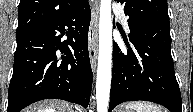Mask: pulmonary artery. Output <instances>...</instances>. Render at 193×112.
I'll return each instance as SVG.
<instances>
[{"label":"pulmonary artery","mask_w":193,"mask_h":112,"mask_svg":"<svg viewBox=\"0 0 193 112\" xmlns=\"http://www.w3.org/2000/svg\"><path fill=\"white\" fill-rule=\"evenodd\" d=\"M113 11L121 18V20L123 21L125 27L128 28V26H127V18H126L125 14H124V11H123L122 7L119 6V5H114L113 6Z\"/></svg>","instance_id":"e3ab8cb5"}]
</instances>
